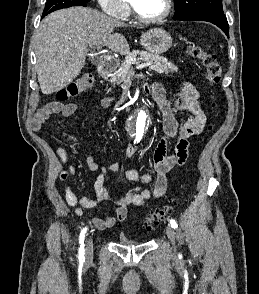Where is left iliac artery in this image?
<instances>
[{
  "mask_svg": "<svg viewBox=\"0 0 259 294\" xmlns=\"http://www.w3.org/2000/svg\"><path fill=\"white\" fill-rule=\"evenodd\" d=\"M171 227L176 229L178 227L177 222L174 219H170Z\"/></svg>",
  "mask_w": 259,
  "mask_h": 294,
  "instance_id": "1",
  "label": "left iliac artery"
}]
</instances>
